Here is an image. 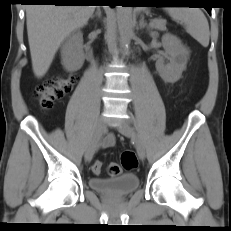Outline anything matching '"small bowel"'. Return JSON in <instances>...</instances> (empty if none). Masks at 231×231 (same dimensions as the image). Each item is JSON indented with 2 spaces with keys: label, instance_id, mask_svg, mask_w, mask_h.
<instances>
[{
  "label": "small bowel",
  "instance_id": "small-bowel-1",
  "mask_svg": "<svg viewBox=\"0 0 231 231\" xmlns=\"http://www.w3.org/2000/svg\"><path fill=\"white\" fill-rule=\"evenodd\" d=\"M114 144V136L109 134L101 142L103 148H108Z\"/></svg>",
  "mask_w": 231,
  "mask_h": 231
}]
</instances>
